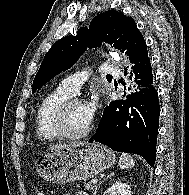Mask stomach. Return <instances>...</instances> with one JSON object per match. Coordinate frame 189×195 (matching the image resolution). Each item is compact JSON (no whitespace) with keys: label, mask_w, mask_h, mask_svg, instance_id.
I'll list each match as a JSON object with an SVG mask.
<instances>
[{"label":"stomach","mask_w":189,"mask_h":195,"mask_svg":"<svg viewBox=\"0 0 189 195\" xmlns=\"http://www.w3.org/2000/svg\"><path fill=\"white\" fill-rule=\"evenodd\" d=\"M116 162V155L106 147L93 143L49 150L39 158V176L52 183L87 180Z\"/></svg>","instance_id":"stomach-1"}]
</instances>
